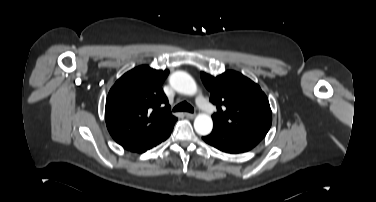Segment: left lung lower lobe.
<instances>
[{
    "mask_svg": "<svg viewBox=\"0 0 376 202\" xmlns=\"http://www.w3.org/2000/svg\"><path fill=\"white\" fill-rule=\"evenodd\" d=\"M203 139L211 146L231 154L247 152L261 141V139L219 124H214L211 134Z\"/></svg>",
    "mask_w": 376,
    "mask_h": 202,
    "instance_id": "0a47b994",
    "label": "left lung lower lobe"
}]
</instances>
